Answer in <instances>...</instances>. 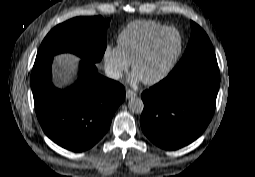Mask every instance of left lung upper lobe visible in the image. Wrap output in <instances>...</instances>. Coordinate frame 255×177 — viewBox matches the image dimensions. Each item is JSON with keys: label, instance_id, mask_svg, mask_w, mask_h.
I'll return each instance as SVG.
<instances>
[{"label": "left lung upper lobe", "instance_id": "1", "mask_svg": "<svg viewBox=\"0 0 255 177\" xmlns=\"http://www.w3.org/2000/svg\"><path fill=\"white\" fill-rule=\"evenodd\" d=\"M191 28L192 34L185 54L170 74L195 64L217 63L214 48L207 34L194 22H191Z\"/></svg>", "mask_w": 255, "mask_h": 177}]
</instances>
